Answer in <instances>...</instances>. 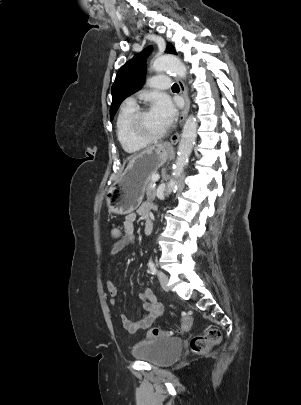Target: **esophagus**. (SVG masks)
I'll return each mask as SVG.
<instances>
[{"label":"esophagus","mask_w":301,"mask_h":405,"mask_svg":"<svg viewBox=\"0 0 301 405\" xmlns=\"http://www.w3.org/2000/svg\"><path fill=\"white\" fill-rule=\"evenodd\" d=\"M177 83L179 85L180 93H181V95H182V97L184 99V103H185L184 109H183V111H182V113H181V115L179 117L180 124H183V122H184V120H185V118H186V116L188 114V111H189L190 102H189L187 89H186V86H185L184 82L180 78H177ZM179 138H180V135L178 133L173 134L170 137V141L168 142V144L169 145H176L178 143V141H179Z\"/></svg>","instance_id":"34e87169"}]
</instances>
